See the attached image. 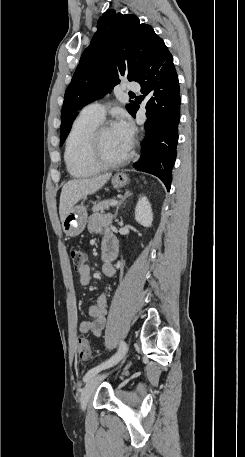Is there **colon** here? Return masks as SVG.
<instances>
[{
	"label": "colon",
	"mask_w": 245,
	"mask_h": 457,
	"mask_svg": "<svg viewBox=\"0 0 245 457\" xmlns=\"http://www.w3.org/2000/svg\"><path fill=\"white\" fill-rule=\"evenodd\" d=\"M69 256L75 269L79 270L86 261V254L80 248H71ZM76 351L82 360H87L91 355L90 340L84 335H79L76 341Z\"/></svg>",
	"instance_id": "obj_1"
}]
</instances>
